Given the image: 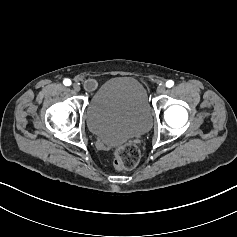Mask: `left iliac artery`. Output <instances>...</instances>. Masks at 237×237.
I'll return each mask as SVG.
<instances>
[{"label":"left iliac artery","instance_id":"44dca946","mask_svg":"<svg viewBox=\"0 0 237 237\" xmlns=\"http://www.w3.org/2000/svg\"><path fill=\"white\" fill-rule=\"evenodd\" d=\"M173 85H174V81H172V80H168L166 82V87H168V88H171Z\"/></svg>","mask_w":237,"mask_h":237}]
</instances>
